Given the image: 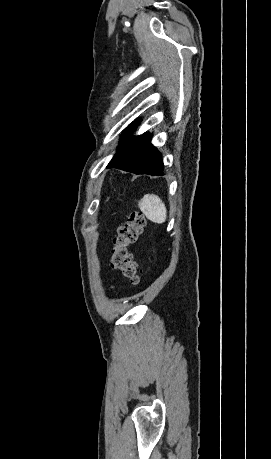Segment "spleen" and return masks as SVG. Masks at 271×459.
Listing matches in <instances>:
<instances>
[{
  "instance_id": "1",
  "label": "spleen",
  "mask_w": 271,
  "mask_h": 459,
  "mask_svg": "<svg viewBox=\"0 0 271 459\" xmlns=\"http://www.w3.org/2000/svg\"><path fill=\"white\" fill-rule=\"evenodd\" d=\"M139 208L151 222H155V224H163V222H166L167 210L165 204H163L158 196L146 194V196L140 200Z\"/></svg>"
}]
</instances>
